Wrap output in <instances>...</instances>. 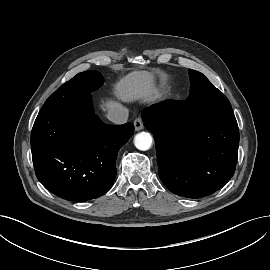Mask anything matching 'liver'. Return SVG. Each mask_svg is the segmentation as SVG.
I'll return each instance as SVG.
<instances>
[{
  "label": "liver",
  "mask_w": 270,
  "mask_h": 270,
  "mask_svg": "<svg viewBox=\"0 0 270 270\" xmlns=\"http://www.w3.org/2000/svg\"><path fill=\"white\" fill-rule=\"evenodd\" d=\"M116 96L124 102H153L161 98L155 83V76L149 71H134L123 77L115 87ZM119 103L108 101L107 109L115 108Z\"/></svg>",
  "instance_id": "6515ba94"
}]
</instances>
